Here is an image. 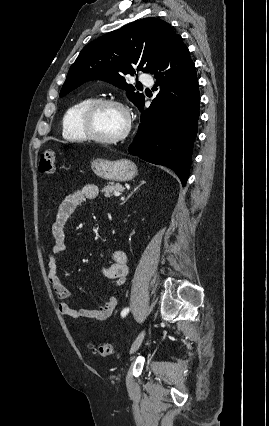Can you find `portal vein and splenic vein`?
Here are the masks:
<instances>
[{
  "label": "portal vein and splenic vein",
  "mask_w": 269,
  "mask_h": 426,
  "mask_svg": "<svg viewBox=\"0 0 269 426\" xmlns=\"http://www.w3.org/2000/svg\"><path fill=\"white\" fill-rule=\"evenodd\" d=\"M120 194H121L120 191H117L114 193V196H120Z\"/></svg>",
  "instance_id": "18ae733b"
}]
</instances>
